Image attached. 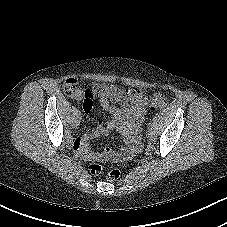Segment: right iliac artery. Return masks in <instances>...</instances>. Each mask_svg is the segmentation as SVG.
Listing matches in <instances>:
<instances>
[{
  "label": "right iliac artery",
  "instance_id": "82829eb1",
  "mask_svg": "<svg viewBox=\"0 0 227 227\" xmlns=\"http://www.w3.org/2000/svg\"><path fill=\"white\" fill-rule=\"evenodd\" d=\"M77 116H79V117H81V113H80V111H76V113H75Z\"/></svg>",
  "mask_w": 227,
  "mask_h": 227
}]
</instances>
